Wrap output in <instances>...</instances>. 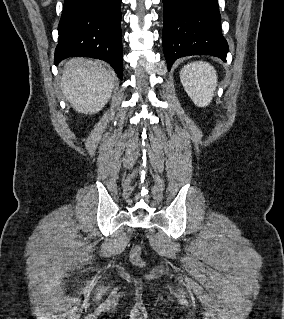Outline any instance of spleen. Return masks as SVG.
Here are the masks:
<instances>
[{"label":"spleen","instance_id":"1","mask_svg":"<svg viewBox=\"0 0 284 319\" xmlns=\"http://www.w3.org/2000/svg\"><path fill=\"white\" fill-rule=\"evenodd\" d=\"M180 80L195 105H209L217 86V74L213 66L203 61L187 64L180 71Z\"/></svg>","mask_w":284,"mask_h":319}]
</instances>
